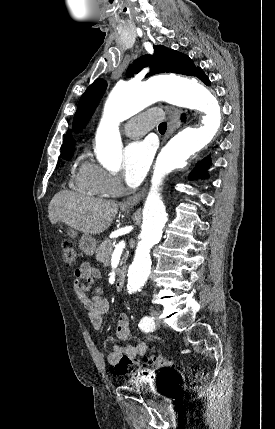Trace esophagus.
Instances as JSON below:
<instances>
[{
  "label": "esophagus",
  "mask_w": 275,
  "mask_h": 429,
  "mask_svg": "<svg viewBox=\"0 0 275 429\" xmlns=\"http://www.w3.org/2000/svg\"><path fill=\"white\" fill-rule=\"evenodd\" d=\"M166 111L168 114V127L163 142H165L178 128L180 116V110L175 107L167 106ZM147 188L148 185H145L140 191L127 198L124 202V205L128 207H134L135 205H137L140 200L145 196Z\"/></svg>",
  "instance_id": "1"
}]
</instances>
